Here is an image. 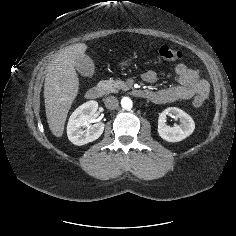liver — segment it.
<instances>
[{"mask_svg":"<svg viewBox=\"0 0 236 236\" xmlns=\"http://www.w3.org/2000/svg\"><path fill=\"white\" fill-rule=\"evenodd\" d=\"M85 43L61 49L47 66L44 84L46 117L52 134L61 137L69 109L79 91L76 60L87 50Z\"/></svg>","mask_w":236,"mask_h":236,"instance_id":"liver-1","label":"liver"}]
</instances>
